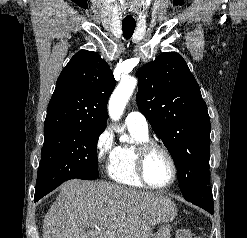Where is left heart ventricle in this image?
I'll return each instance as SVG.
<instances>
[{
    "mask_svg": "<svg viewBox=\"0 0 247 238\" xmlns=\"http://www.w3.org/2000/svg\"><path fill=\"white\" fill-rule=\"evenodd\" d=\"M146 176L154 185H165L172 177V168L168 158L159 150H153L145 165Z\"/></svg>",
    "mask_w": 247,
    "mask_h": 238,
    "instance_id": "obj_1",
    "label": "left heart ventricle"
}]
</instances>
